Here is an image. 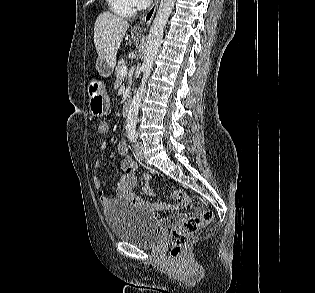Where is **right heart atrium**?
Masks as SVG:
<instances>
[{
  "mask_svg": "<svg viewBox=\"0 0 315 293\" xmlns=\"http://www.w3.org/2000/svg\"><path fill=\"white\" fill-rule=\"evenodd\" d=\"M146 0H131L134 8H140L145 4Z\"/></svg>",
  "mask_w": 315,
  "mask_h": 293,
  "instance_id": "right-heart-atrium-1",
  "label": "right heart atrium"
}]
</instances>
